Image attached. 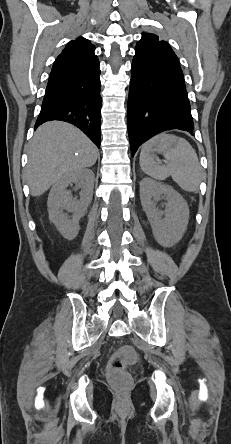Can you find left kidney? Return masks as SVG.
I'll return each mask as SVG.
<instances>
[{
  "label": "left kidney",
  "mask_w": 231,
  "mask_h": 444,
  "mask_svg": "<svg viewBox=\"0 0 231 444\" xmlns=\"http://www.w3.org/2000/svg\"><path fill=\"white\" fill-rule=\"evenodd\" d=\"M160 195L167 200L164 212L156 208ZM140 200L156 241L164 247L178 243L189 221V209L183 197L172 187L145 177L140 182ZM163 214L165 217L162 219Z\"/></svg>",
  "instance_id": "5707ae66"
}]
</instances>
